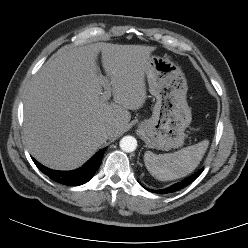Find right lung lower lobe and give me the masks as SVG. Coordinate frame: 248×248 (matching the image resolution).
I'll list each match as a JSON object with an SVG mask.
<instances>
[{
  "instance_id": "98d812e1",
  "label": "right lung lower lobe",
  "mask_w": 248,
  "mask_h": 248,
  "mask_svg": "<svg viewBox=\"0 0 248 248\" xmlns=\"http://www.w3.org/2000/svg\"><path fill=\"white\" fill-rule=\"evenodd\" d=\"M106 148L97 152L87 163L81 168L73 171H56L49 169L34 158L33 161L36 166L49 178L63 185L78 186L88 182L95 174L101 164V160Z\"/></svg>"
}]
</instances>
